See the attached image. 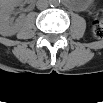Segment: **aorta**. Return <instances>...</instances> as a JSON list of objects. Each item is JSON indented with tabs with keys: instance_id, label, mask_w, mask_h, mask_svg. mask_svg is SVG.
Wrapping results in <instances>:
<instances>
[{
	"instance_id": "762f6f07",
	"label": "aorta",
	"mask_w": 103,
	"mask_h": 103,
	"mask_svg": "<svg viewBox=\"0 0 103 103\" xmlns=\"http://www.w3.org/2000/svg\"><path fill=\"white\" fill-rule=\"evenodd\" d=\"M50 4L53 5V6H55V5H56V2H55V1H52Z\"/></svg>"
}]
</instances>
